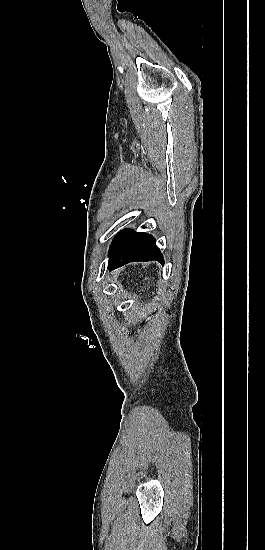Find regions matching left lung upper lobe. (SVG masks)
Segmentation results:
<instances>
[{
    "instance_id": "1",
    "label": "left lung upper lobe",
    "mask_w": 265,
    "mask_h": 550,
    "mask_svg": "<svg viewBox=\"0 0 265 550\" xmlns=\"http://www.w3.org/2000/svg\"><path fill=\"white\" fill-rule=\"evenodd\" d=\"M132 231H123L122 233L118 234L112 243V246L110 248V251H113Z\"/></svg>"
}]
</instances>
